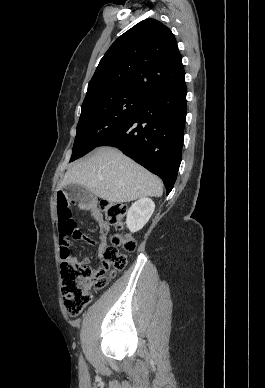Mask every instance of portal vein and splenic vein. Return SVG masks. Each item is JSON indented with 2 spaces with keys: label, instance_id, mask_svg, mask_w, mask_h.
I'll list each match as a JSON object with an SVG mask.
<instances>
[{
  "label": "portal vein and splenic vein",
  "instance_id": "18ae733b",
  "mask_svg": "<svg viewBox=\"0 0 265 388\" xmlns=\"http://www.w3.org/2000/svg\"><path fill=\"white\" fill-rule=\"evenodd\" d=\"M100 180H101V182H102L103 178H100ZM107 188H108V186H107Z\"/></svg>",
  "mask_w": 265,
  "mask_h": 388
}]
</instances>
